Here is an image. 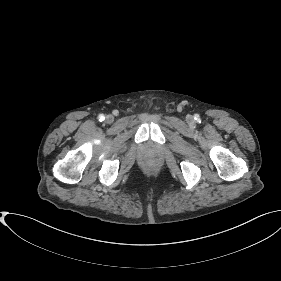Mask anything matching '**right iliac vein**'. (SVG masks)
Instances as JSON below:
<instances>
[{
  "instance_id": "63e3f726",
  "label": "right iliac vein",
  "mask_w": 281,
  "mask_h": 281,
  "mask_svg": "<svg viewBox=\"0 0 281 281\" xmlns=\"http://www.w3.org/2000/svg\"><path fill=\"white\" fill-rule=\"evenodd\" d=\"M113 120H114V117H113L112 115H107V116H106V121H107L108 123L113 122Z\"/></svg>"
}]
</instances>
